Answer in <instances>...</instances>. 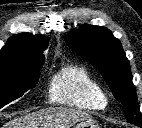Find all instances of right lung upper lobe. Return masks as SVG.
<instances>
[{
  "instance_id": "right-lung-upper-lobe-1",
  "label": "right lung upper lobe",
  "mask_w": 142,
  "mask_h": 128,
  "mask_svg": "<svg viewBox=\"0 0 142 128\" xmlns=\"http://www.w3.org/2000/svg\"><path fill=\"white\" fill-rule=\"evenodd\" d=\"M48 39L21 33L11 37L0 51V78L15 77L31 64L45 60Z\"/></svg>"
}]
</instances>
